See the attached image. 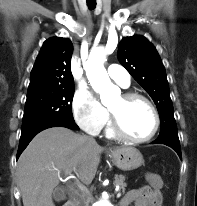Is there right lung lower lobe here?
<instances>
[{"mask_svg": "<svg viewBox=\"0 0 197 206\" xmlns=\"http://www.w3.org/2000/svg\"><path fill=\"white\" fill-rule=\"evenodd\" d=\"M51 127H66L72 130L79 129V127L76 125L74 121L55 120V121L42 122L28 129L22 130L20 141H19L17 159L19 158L21 153L24 151V149L27 147L29 142L33 139V137L36 134Z\"/></svg>", "mask_w": 197, "mask_h": 206, "instance_id": "obj_1", "label": "right lung lower lobe"}]
</instances>
